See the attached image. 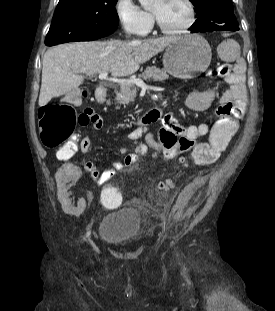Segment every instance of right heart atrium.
<instances>
[{
	"label": "right heart atrium",
	"instance_id": "d8ad5b80",
	"mask_svg": "<svg viewBox=\"0 0 275 311\" xmlns=\"http://www.w3.org/2000/svg\"><path fill=\"white\" fill-rule=\"evenodd\" d=\"M114 11L120 26L129 33L145 35L152 28V16L134 0H115Z\"/></svg>",
	"mask_w": 275,
	"mask_h": 311
}]
</instances>
